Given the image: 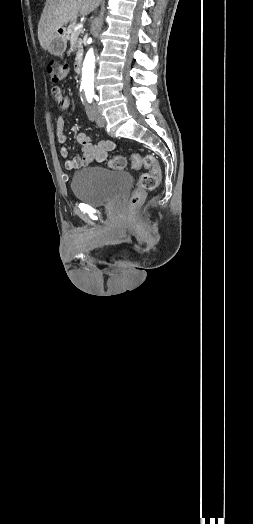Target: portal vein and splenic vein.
Instances as JSON below:
<instances>
[{
	"label": "portal vein and splenic vein",
	"instance_id": "obj_1",
	"mask_svg": "<svg viewBox=\"0 0 253 524\" xmlns=\"http://www.w3.org/2000/svg\"><path fill=\"white\" fill-rule=\"evenodd\" d=\"M82 27H83V24H82V23L77 24V25L75 26L74 30H75V31H78V30L82 29Z\"/></svg>",
	"mask_w": 253,
	"mask_h": 524
}]
</instances>
